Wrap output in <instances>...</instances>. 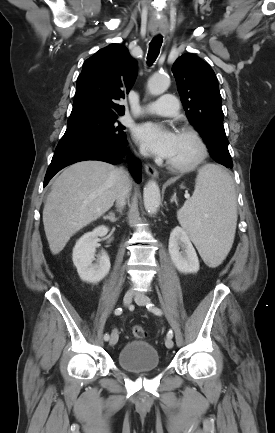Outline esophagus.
<instances>
[{"label":"esophagus","mask_w":275,"mask_h":433,"mask_svg":"<svg viewBox=\"0 0 275 433\" xmlns=\"http://www.w3.org/2000/svg\"><path fill=\"white\" fill-rule=\"evenodd\" d=\"M145 171H146V173H147L149 176L154 177V178H157L158 175H159V173H158V171L156 170V168H154V167L151 166L150 164H145Z\"/></svg>","instance_id":"34e87169"}]
</instances>
